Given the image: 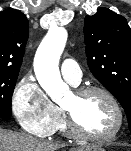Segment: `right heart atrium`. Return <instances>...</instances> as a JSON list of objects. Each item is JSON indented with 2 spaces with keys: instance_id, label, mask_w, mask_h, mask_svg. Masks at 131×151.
<instances>
[{
  "instance_id": "obj_1",
  "label": "right heart atrium",
  "mask_w": 131,
  "mask_h": 151,
  "mask_svg": "<svg viewBox=\"0 0 131 151\" xmlns=\"http://www.w3.org/2000/svg\"><path fill=\"white\" fill-rule=\"evenodd\" d=\"M11 106L21 128L35 136L50 135L59 118L58 107L30 75L23 77L16 85Z\"/></svg>"
}]
</instances>
